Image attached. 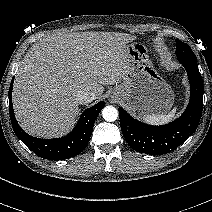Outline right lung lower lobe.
Here are the masks:
<instances>
[{"label": "right lung lower lobe", "mask_w": 212, "mask_h": 212, "mask_svg": "<svg viewBox=\"0 0 212 212\" xmlns=\"http://www.w3.org/2000/svg\"><path fill=\"white\" fill-rule=\"evenodd\" d=\"M13 81L14 79L11 81L8 93L9 113L12 127L17 137L31 151L41 158L49 160H64L80 154L90 140L94 122L102 108L105 106V102H99L91 108L85 110L75 128L67 136L54 139H39L30 136L18 125L12 104Z\"/></svg>", "instance_id": "obj_1"}]
</instances>
